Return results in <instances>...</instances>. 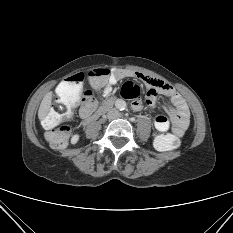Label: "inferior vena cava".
I'll use <instances>...</instances> for the list:
<instances>
[{"instance_id": "obj_1", "label": "inferior vena cava", "mask_w": 233, "mask_h": 233, "mask_svg": "<svg viewBox=\"0 0 233 233\" xmlns=\"http://www.w3.org/2000/svg\"><path fill=\"white\" fill-rule=\"evenodd\" d=\"M119 116V112L116 109H112L109 113H108V118L109 119H115Z\"/></svg>"}]
</instances>
